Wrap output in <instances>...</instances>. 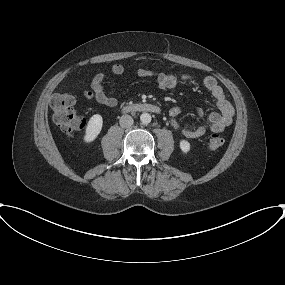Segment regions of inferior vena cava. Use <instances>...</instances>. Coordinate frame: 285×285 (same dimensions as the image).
<instances>
[{
  "mask_svg": "<svg viewBox=\"0 0 285 285\" xmlns=\"http://www.w3.org/2000/svg\"><path fill=\"white\" fill-rule=\"evenodd\" d=\"M134 120L130 115H122L119 123L122 128H129L132 126Z\"/></svg>",
  "mask_w": 285,
  "mask_h": 285,
  "instance_id": "602c4592",
  "label": "inferior vena cava"
}]
</instances>
